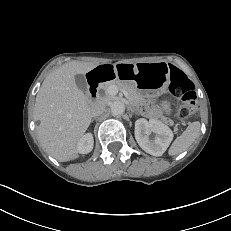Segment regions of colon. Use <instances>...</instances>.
I'll list each match as a JSON object with an SVG mask.
<instances>
[{
    "label": "colon",
    "mask_w": 231,
    "mask_h": 231,
    "mask_svg": "<svg viewBox=\"0 0 231 231\" xmlns=\"http://www.w3.org/2000/svg\"><path fill=\"white\" fill-rule=\"evenodd\" d=\"M170 91L181 99L177 116L181 121H186L198 109L194 84L181 71L176 70L171 81Z\"/></svg>",
    "instance_id": "obj_1"
}]
</instances>
